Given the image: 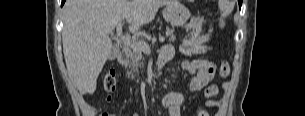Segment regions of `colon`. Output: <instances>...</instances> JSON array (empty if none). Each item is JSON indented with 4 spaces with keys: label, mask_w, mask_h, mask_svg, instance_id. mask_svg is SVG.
Here are the masks:
<instances>
[{
    "label": "colon",
    "mask_w": 305,
    "mask_h": 116,
    "mask_svg": "<svg viewBox=\"0 0 305 116\" xmlns=\"http://www.w3.org/2000/svg\"><path fill=\"white\" fill-rule=\"evenodd\" d=\"M218 10L221 16L227 18L231 15L232 10H233V5L232 1L230 0H219L218 1ZM220 76L222 78H226L230 74V67L228 64L224 63L220 67ZM104 90L107 92L108 97L107 99H111V94L114 93L117 87V81H116V76L115 72L113 70H109L105 76H104ZM100 116H115L112 113L109 112H104Z\"/></svg>",
    "instance_id": "5ec220e1"
}]
</instances>
